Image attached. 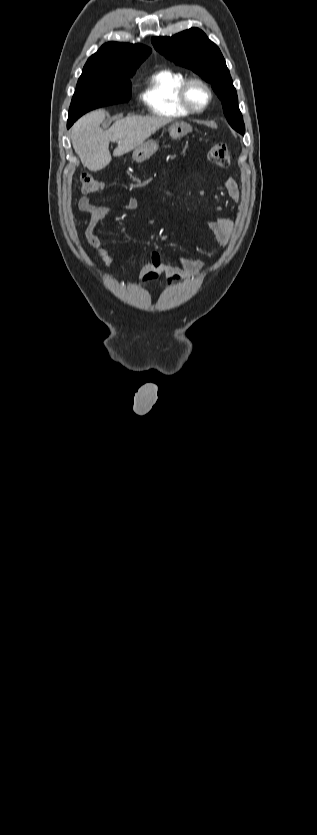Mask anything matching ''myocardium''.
<instances>
[{
  "mask_svg": "<svg viewBox=\"0 0 317 835\" xmlns=\"http://www.w3.org/2000/svg\"><path fill=\"white\" fill-rule=\"evenodd\" d=\"M194 84L201 85L206 90L207 95H208L205 104L200 106V107L194 106L192 104L190 98H189L190 87ZM179 98H180L181 104L190 113L198 114V113L204 112L209 107V105L211 104L212 99H213V90H212L210 84L206 80H204L202 78H199V77H191V78H187L185 80V82L182 84V86L179 90Z\"/></svg>",
  "mask_w": 317,
  "mask_h": 835,
  "instance_id": "1",
  "label": "myocardium"
}]
</instances>
